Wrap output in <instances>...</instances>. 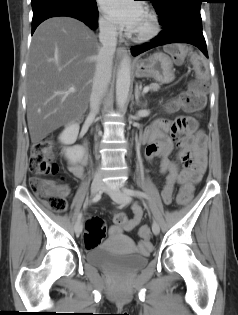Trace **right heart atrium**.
<instances>
[{
	"mask_svg": "<svg viewBox=\"0 0 238 315\" xmlns=\"http://www.w3.org/2000/svg\"><path fill=\"white\" fill-rule=\"evenodd\" d=\"M98 23L100 31L104 35L108 37H115L118 34V28L116 24L107 16H100Z\"/></svg>",
	"mask_w": 238,
	"mask_h": 315,
	"instance_id": "d8ad5b80",
	"label": "right heart atrium"
}]
</instances>
